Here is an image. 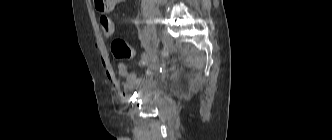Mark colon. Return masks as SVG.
Wrapping results in <instances>:
<instances>
[{"label": "colon", "mask_w": 332, "mask_h": 140, "mask_svg": "<svg viewBox=\"0 0 332 140\" xmlns=\"http://www.w3.org/2000/svg\"><path fill=\"white\" fill-rule=\"evenodd\" d=\"M119 0H94L97 10L104 12L108 7L114 6ZM100 27L104 35L111 36L114 33V23L112 19L103 14L100 17ZM111 52L118 59H129L133 55L131 47L121 39H115L111 43Z\"/></svg>", "instance_id": "5ec220e1"}]
</instances>
